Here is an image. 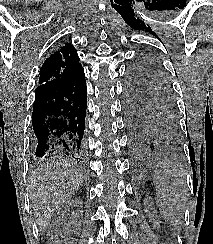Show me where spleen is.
I'll return each instance as SVG.
<instances>
[{"label": "spleen", "mask_w": 213, "mask_h": 244, "mask_svg": "<svg viewBox=\"0 0 213 244\" xmlns=\"http://www.w3.org/2000/svg\"><path fill=\"white\" fill-rule=\"evenodd\" d=\"M157 204L162 217L176 225L184 214V198L187 194L186 178L183 171L168 162H164L155 172Z\"/></svg>", "instance_id": "obj_1"}]
</instances>
